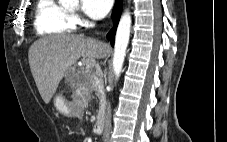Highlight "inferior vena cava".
Here are the masks:
<instances>
[{
  "label": "inferior vena cava",
  "mask_w": 227,
  "mask_h": 142,
  "mask_svg": "<svg viewBox=\"0 0 227 142\" xmlns=\"http://www.w3.org/2000/svg\"><path fill=\"white\" fill-rule=\"evenodd\" d=\"M110 131H111V108L110 105L108 104L105 115V129L103 135V142H109Z\"/></svg>",
  "instance_id": "602c4592"
}]
</instances>
